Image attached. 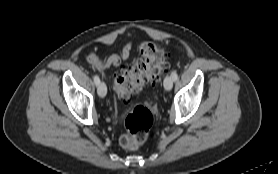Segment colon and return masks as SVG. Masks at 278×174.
Instances as JSON below:
<instances>
[{"mask_svg": "<svg viewBox=\"0 0 278 174\" xmlns=\"http://www.w3.org/2000/svg\"><path fill=\"white\" fill-rule=\"evenodd\" d=\"M167 67V53L152 42L145 41L140 46V56L131 67L120 68L114 76L117 93L125 99L156 84ZM153 125L151 111L143 106H136L125 120L126 133L120 138L123 148L134 150L147 139Z\"/></svg>", "mask_w": 278, "mask_h": 174, "instance_id": "colon-1", "label": "colon"}]
</instances>
